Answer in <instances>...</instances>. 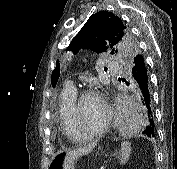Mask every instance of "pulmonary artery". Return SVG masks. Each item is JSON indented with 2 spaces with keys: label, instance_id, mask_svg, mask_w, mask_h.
Listing matches in <instances>:
<instances>
[{
  "label": "pulmonary artery",
  "instance_id": "pulmonary-artery-1",
  "mask_svg": "<svg viewBox=\"0 0 177 169\" xmlns=\"http://www.w3.org/2000/svg\"><path fill=\"white\" fill-rule=\"evenodd\" d=\"M67 86L76 89L73 81H69V82L67 83Z\"/></svg>",
  "mask_w": 177,
  "mask_h": 169
}]
</instances>
